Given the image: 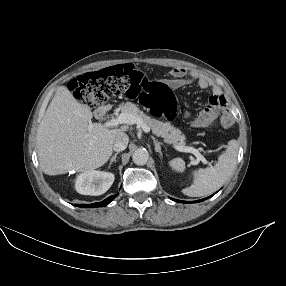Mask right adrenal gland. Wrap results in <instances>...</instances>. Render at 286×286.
Returning a JSON list of instances; mask_svg holds the SVG:
<instances>
[{
    "instance_id": "obj_1",
    "label": "right adrenal gland",
    "mask_w": 286,
    "mask_h": 286,
    "mask_svg": "<svg viewBox=\"0 0 286 286\" xmlns=\"http://www.w3.org/2000/svg\"><path fill=\"white\" fill-rule=\"evenodd\" d=\"M118 154H119V152H116V153L111 157L110 162H109V165H108V169L110 168V166H111V164H112L113 162H116V157H117Z\"/></svg>"
}]
</instances>
